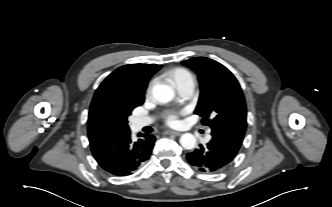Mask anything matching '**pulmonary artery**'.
I'll use <instances>...</instances> for the list:
<instances>
[{
  "label": "pulmonary artery",
  "instance_id": "e3ab8cb5",
  "mask_svg": "<svg viewBox=\"0 0 332 207\" xmlns=\"http://www.w3.org/2000/svg\"><path fill=\"white\" fill-rule=\"evenodd\" d=\"M193 91H194V82L192 79L186 81L178 88V93L182 100L190 98L193 94ZM151 122L152 120L150 118L138 117L135 119V126L141 128L143 126L150 124ZM207 137L209 138L210 136L207 135Z\"/></svg>",
  "mask_w": 332,
  "mask_h": 207
}]
</instances>
